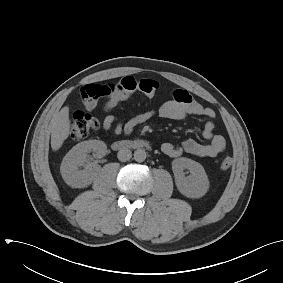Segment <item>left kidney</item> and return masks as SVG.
Returning <instances> with one entry per match:
<instances>
[{
	"mask_svg": "<svg viewBox=\"0 0 283 283\" xmlns=\"http://www.w3.org/2000/svg\"><path fill=\"white\" fill-rule=\"evenodd\" d=\"M188 169L190 175L185 176ZM175 183L181 194L188 198H200L209 189V180L203 166L189 158H177L172 161Z\"/></svg>",
	"mask_w": 283,
	"mask_h": 283,
	"instance_id": "obj_1",
	"label": "left kidney"
}]
</instances>
